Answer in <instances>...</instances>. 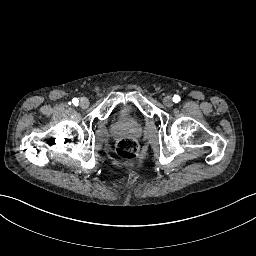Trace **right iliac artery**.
Here are the masks:
<instances>
[{
  "label": "right iliac artery",
  "mask_w": 256,
  "mask_h": 256,
  "mask_svg": "<svg viewBox=\"0 0 256 256\" xmlns=\"http://www.w3.org/2000/svg\"><path fill=\"white\" fill-rule=\"evenodd\" d=\"M72 102H73L74 105H77L79 100L77 98H73Z\"/></svg>",
  "instance_id": "1"
}]
</instances>
